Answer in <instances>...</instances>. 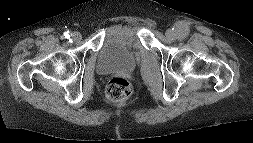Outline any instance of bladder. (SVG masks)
<instances>
[{"mask_svg": "<svg viewBox=\"0 0 253 143\" xmlns=\"http://www.w3.org/2000/svg\"><path fill=\"white\" fill-rule=\"evenodd\" d=\"M137 65V50L131 46L129 36L122 31L111 33L99 50L97 70L101 73L131 71Z\"/></svg>", "mask_w": 253, "mask_h": 143, "instance_id": "bladder-1", "label": "bladder"}]
</instances>
